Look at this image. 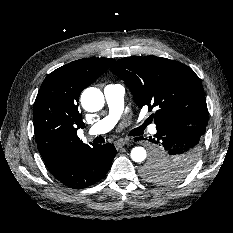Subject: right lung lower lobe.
Returning <instances> with one entry per match:
<instances>
[{"label": "right lung lower lobe", "instance_id": "right-lung-lower-lobe-1", "mask_svg": "<svg viewBox=\"0 0 233 233\" xmlns=\"http://www.w3.org/2000/svg\"><path fill=\"white\" fill-rule=\"evenodd\" d=\"M117 151L113 144L84 145L63 156L48 169L65 186L82 189L101 180L108 172Z\"/></svg>", "mask_w": 233, "mask_h": 233}]
</instances>
